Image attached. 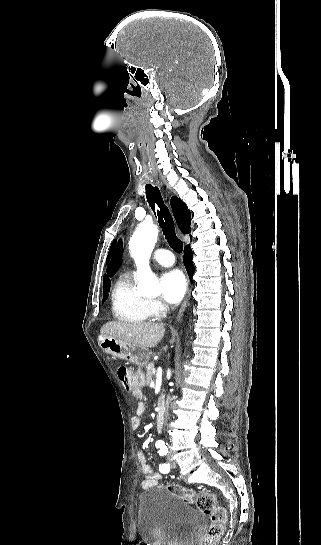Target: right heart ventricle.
Wrapping results in <instances>:
<instances>
[{
    "mask_svg": "<svg viewBox=\"0 0 321 545\" xmlns=\"http://www.w3.org/2000/svg\"><path fill=\"white\" fill-rule=\"evenodd\" d=\"M110 303L112 316L119 322L142 324L154 318L147 303L137 297L131 278L126 273L117 276Z\"/></svg>",
    "mask_w": 321,
    "mask_h": 545,
    "instance_id": "1",
    "label": "right heart ventricle"
}]
</instances>
